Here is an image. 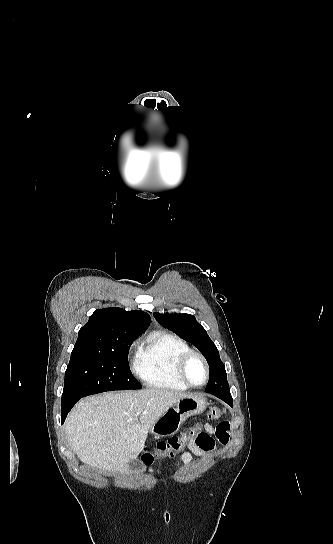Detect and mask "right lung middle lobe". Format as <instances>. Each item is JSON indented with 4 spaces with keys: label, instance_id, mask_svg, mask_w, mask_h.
I'll list each match as a JSON object with an SVG mask.
<instances>
[{
    "label": "right lung middle lobe",
    "instance_id": "obj_1",
    "mask_svg": "<svg viewBox=\"0 0 333 544\" xmlns=\"http://www.w3.org/2000/svg\"><path fill=\"white\" fill-rule=\"evenodd\" d=\"M136 338L113 340L105 350L74 349L65 372L62 399L112 391L140 389L128 364V351Z\"/></svg>",
    "mask_w": 333,
    "mask_h": 544
}]
</instances>
